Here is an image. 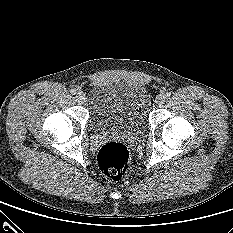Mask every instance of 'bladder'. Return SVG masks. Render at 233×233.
I'll return each mask as SVG.
<instances>
[{
	"label": "bladder",
	"mask_w": 233,
	"mask_h": 233,
	"mask_svg": "<svg viewBox=\"0 0 233 233\" xmlns=\"http://www.w3.org/2000/svg\"><path fill=\"white\" fill-rule=\"evenodd\" d=\"M88 102L94 134L121 131L139 135L148 125L150 96L141 85L124 81L96 83Z\"/></svg>",
	"instance_id": "31cf9c89"
}]
</instances>
